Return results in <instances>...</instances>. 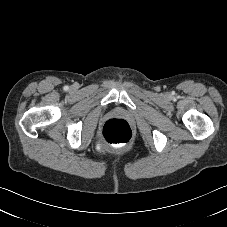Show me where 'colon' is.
I'll list each match as a JSON object with an SVG mask.
<instances>
[{
    "label": "colon",
    "instance_id": "colon-1",
    "mask_svg": "<svg viewBox=\"0 0 227 227\" xmlns=\"http://www.w3.org/2000/svg\"><path fill=\"white\" fill-rule=\"evenodd\" d=\"M100 136L107 143H127L132 138V130L126 121L111 119L102 127Z\"/></svg>",
    "mask_w": 227,
    "mask_h": 227
}]
</instances>
